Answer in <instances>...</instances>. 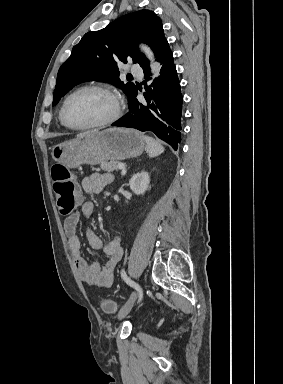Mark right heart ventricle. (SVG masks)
<instances>
[{
    "label": "right heart ventricle",
    "mask_w": 283,
    "mask_h": 384,
    "mask_svg": "<svg viewBox=\"0 0 283 384\" xmlns=\"http://www.w3.org/2000/svg\"><path fill=\"white\" fill-rule=\"evenodd\" d=\"M58 117H59V121H60V123H61V120H60V111H59V116H58ZM61 125H62V123H61Z\"/></svg>",
    "instance_id": "right-heart-ventricle-1"
}]
</instances>
